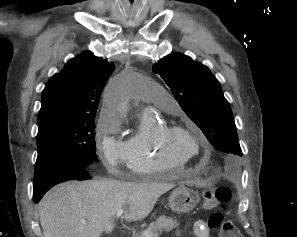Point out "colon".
Masks as SVG:
<instances>
[{"instance_id": "obj_1", "label": "colon", "mask_w": 297, "mask_h": 237, "mask_svg": "<svg viewBox=\"0 0 297 237\" xmlns=\"http://www.w3.org/2000/svg\"><path fill=\"white\" fill-rule=\"evenodd\" d=\"M230 199L231 192L226 186L207 189L203 196V207L206 210H214L217 207L222 208ZM208 225L210 228L218 230L221 237H243L235 224L226 219L219 211H215L210 215Z\"/></svg>"}]
</instances>
